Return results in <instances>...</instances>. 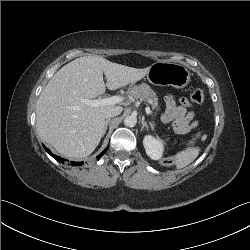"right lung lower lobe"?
I'll use <instances>...</instances> for the list:
<instances>
[{"instance_id": "98d812e1", "label": "right lung lower lobe", "mask_w": 250, "mask_h": 250, "mask_svg": "<svg viewBox=\"0 0 250 250\" xmlns=\"http://www.w3.org/2000/svg\"><path fill=\"white\" fill-rule=\"evenodd\" d=\"M44 146V145H43ZM45 150L47 151V153H49L51 156H53V158H55L58 162H61L63 163L64 161H66L65 159L59 157V156H56V155H53L51 153V151L49 149H47L45 146H44ZM108 147L100 154L97 156V159H99L106 151H107ZM83 162H71V165L72 166H81Z\"/></svg>"}]
</instances>
